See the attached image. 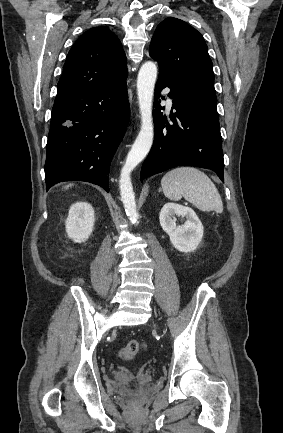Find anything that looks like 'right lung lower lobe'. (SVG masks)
I'll return each mask as SVG.
<instances>
[{"label": "right lung lower lobe", "mask_w": 283, "mask_h": 433, "mask_svg": "<svg viewBox=\"0 0 283 433\" xmlns=\"http://www.w3.org/2000/svg\"><path fill=\"white\" fill-rule=\"evenodd\" d=\"M126 79L55 99L45 163L47 190L62 181H86L109 192L110 162L130 115Z\"/></svg>", "instance_id": "98d812e1"}]
</instances>
